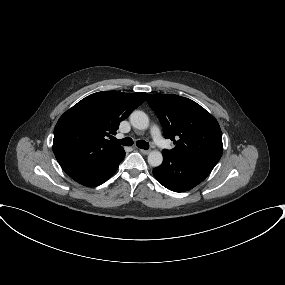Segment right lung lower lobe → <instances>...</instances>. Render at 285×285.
I'll list each match as a JSON object with an SVG mask.
<instances>
[{
	"mask_svg": "<svg viewBox=\"0 0 285 285\" xmlns=\"http://www.w3.org/2000/svg\"><path fill=\"white\" fill-rule=\"evenodd\" d=\"M124 157L125 152L122 150L93 160L75 155L57 161L72 179L84 186L95 187L107 181L116 172Z\"/></svg>",
	"mask_w": 285,
	"mask_h": 285,
	"instance_id": "98d812e1",
	"label": "right lung lower lobe"
}]
</instances>
